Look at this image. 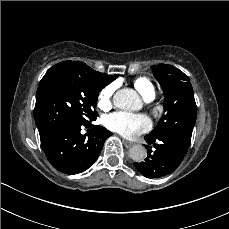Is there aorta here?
I'll use <instances>...</instances> for the list:
<instances>
[{
	"mask_svg": "<svg viewBox=\"0 0 229 229\" xmlns=\"http://www.w3.org/2000/svg\"><path fill=\"white\" fill-rule=\"evenodd\" d=\"M113 102L115 107L122 110H138L141 108V99L133 89L125 88L117 91L114 95ZM147 151L142 145H134L129 150V156L136 162L143 161Z\"/></svg>",
	"mask_w": 229,
	"mask_h": 229,
	"instance_id": "762f6f07",
	"label": "aorta"
}]
</instances>
